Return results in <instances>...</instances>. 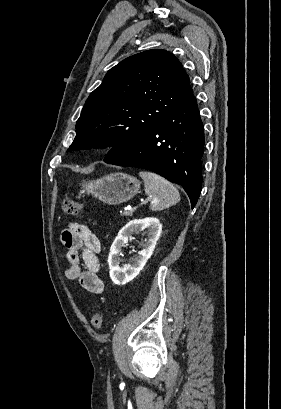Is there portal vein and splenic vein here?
<instances>
[{
	"label": "portal vein and splenic vein",
	"mask_w": 281,
	"mask_h": 409,
	"mask_svg": "<svg viewBox=\"0 0 281 409\" xmlns=\"http://www.w3.org/2000/svg\"><path fill=\"white\" fill-rule=\"evenodd\" d=\"M140 200H145L144 197H141ZM125 216L126 217H131L132 213L130 212V210L126 207V209L124 210Z\"/></svg>",
	"instance_id": "portal-vein-and-splenic-vein-1"
}]
</instances>
